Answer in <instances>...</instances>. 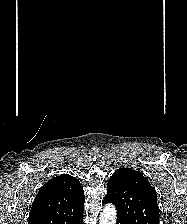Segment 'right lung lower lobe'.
<instances>
[{"mask_svg": "<svg viewBox=\"0 0 187 224\" xmlns=\"http://www.w3.org/2000/svg\"><path fill=\"white\" fill-rule=\"evenodd\" d=\"M70 224H83V216H81V217H79V218H77L75 220H72L70 222Z\"/></svg>", "mask_w": 187, "mask_h": 224, "instance_id": "right-lung-lower-lobe-1", "label": "right lung lower lobe"}]
</instances>
